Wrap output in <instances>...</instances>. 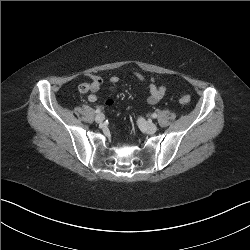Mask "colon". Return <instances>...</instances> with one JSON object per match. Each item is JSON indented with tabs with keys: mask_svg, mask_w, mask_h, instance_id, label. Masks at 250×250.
<instances>
[{
	"mask_svg": "<svg viewBox=\"0 0 250 250\" xmlns=\"http://www.w3.org/2000/svg\"><path fill=\"white\" fill-rule=\"evenodd\" d=\"M179 101L182 104H187V103H189L191 101V97H190V95H183V96L180 97ZM108 104H111V101H108Z\"/></svg>",
	"mask_w": 250,
	"mask_h": 250,
	"instance_id": "5ec220e1",
	"label": "colon"
}]
</instances>
